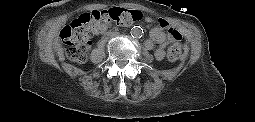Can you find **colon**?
<instances>
[{
    "label": "colon",
    "mask_w": 255,
    "mask_h": 122,
    "mask_svg": "<svg viewBox=\"0 0 255 122\" xmlns=\"http://www.w3.org/2000/svg\"><path fill=\"white\" fill-rule=\"evenodd\" d=\"M142 17V13L137 10L111 8L103 11H92L73 19L60 34L66 45L68 58L75 62H84L91 44V37L103 25L125 26L140 21ZM160 25L164 28L168 27L165 22H160ZM168 34L172 41L167 48L166 57L170 61H175L181 55V35L173 28H168Z\"/></svg>",
    "instance_id": "1"
}]
</instances>
